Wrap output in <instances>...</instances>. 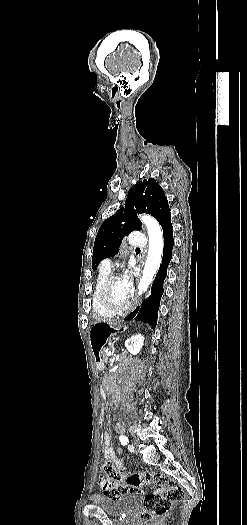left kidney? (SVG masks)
Here are the masks:
<instances>
[{"instance_id": "left-kidney-1", "label": "left kidney", "mask_w": 247, "mask_h": 525, "mask_svg": "<svg viewBox=\"0 0 247 525\" xmlns=\"http://www.w3.org/2000/svg\"><path fill=\"white\" fill-rule=\"evenodd\" d=\"M144 335H133L125 341V347L131 355H138L144 345Z\"/></svg>"}]
</instances>
